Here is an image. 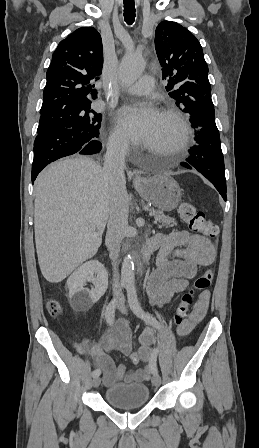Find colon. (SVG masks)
Here are the masks:
<instances>
[{"instance_id": "colon-1", "label": "colon", "mask_w": 259, "mask_h": 448, "mask_svg": "<svg viewBox=\"0 0 259 448\" xmlns=\"http://www.w3.org/2000/svg\"><path fill=\"white\" fill-rule=\"evenodd\" d=\"M178 214L191 231L207 237H216L218 235V226L193 204L182 202L178 206ZM213 278L214 271L209 268L194 281L189 290L182 293L173 316L174 323L177 327L185 324L190 319L192 312L191 306L195 293L206 290L210 286ZM46 308L48 313L53 317H58L62 314V306L56 299L48 300ZM77 348L80 351L82 350L79 345H77ZM130 359L134 364H138L141 361L139 353H132Z\"/></svg>"}]
</instances>
